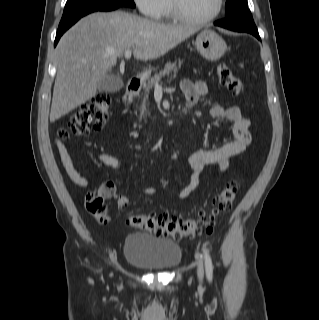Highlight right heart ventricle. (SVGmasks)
Returning <instances> with one entry per match:
<instances>
[{"mask_svg": "<svg viewBox=\"0 0 319 320\" xmlns=\"http://www.w3.org/2000/svg\"><path fill=\"white\" fill-rule=\"evenodd\" d=\"M166 15H169L170 13V7H169V2L166 3L165 11Z\"/></svg>", "mask_w": 319, "mask_h": 320, "instance_id": "right-heart-ventricle-1", "label": "right heart ventricle"}]
</instances>
